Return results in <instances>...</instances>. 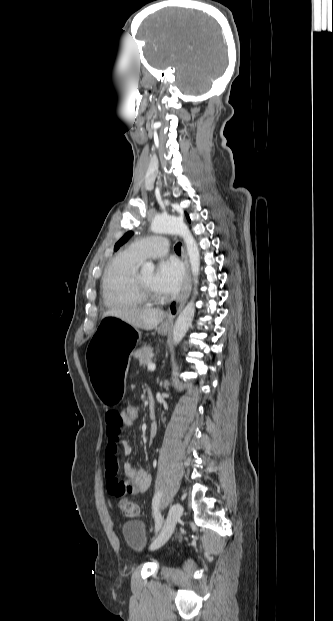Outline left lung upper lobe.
I'll list each match as a JSON object with an SVG mask.
<instances>
[{
    "instance_id": "left-lung-upper-lobe-1",
    "label": "left lung upper lobe",
    "mask_w": 333,
    "mask_h": 621,
    "mask_svg": "<svg viewBox=\"0 0 333 621\" xmlns=\"http://www.w3.org/2000/svg\"><path fill=\"white\" fill-rule=\"evenodd\" d=\"M186 217H187V220L190 222V218L187 214H186ZM132 235H133L132 232L125 233L124 236L115 244L114 251H117L123 244H125Z\"/></svg>"
}]
</instances>
